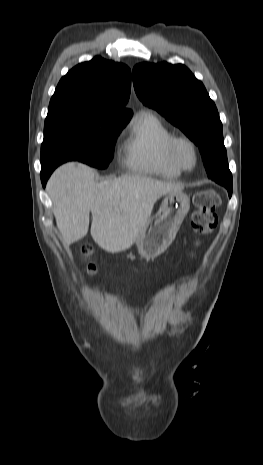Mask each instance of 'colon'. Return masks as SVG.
<instances>
[{
  "instance_id": "5ec220e1",
  "label": "colon",
  "mask_w": 263,
  "mask_h": 465,
  "mask_svg": "<svg viewBox=\"0 0 263 465\" xmlns=\"http://www.w3.org/2000/svg\"><path fill=\"white\" fill-rule=\"evenodd\" d=\"M193 203L196 207L191 217V227L193 231L200 236L212 233L217 226L215 209L220 203L217 192L213 189L198 192L193 198ZM82 253L84 256L90 255L91 248L84 246L82 248ZM87 270L90 273H94L96 271L95 264L89 263Z\"/></svg>"
}]
</instances>
